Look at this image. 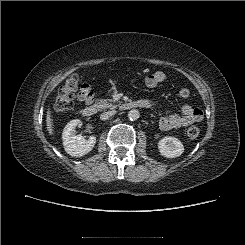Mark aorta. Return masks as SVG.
Segmentation results:
<instances>
[{
	"mask_svg": "<svg viewBox=\"0 0 245 245\" xmlns=\"http://www.w3.org/2000/svg\"><path fill=\"white\" fill-rule=\"evenodd\" d=\"M140 117V113L138 110L136 109H132L128 112V118L131 120V121H135L137 120L138 118Z\"/></svg>",
	"mask_w": 245,
	"mask_h": 245,
	"instance_id": "obj_1",
	"label": "aorta"
}]
</instances>
